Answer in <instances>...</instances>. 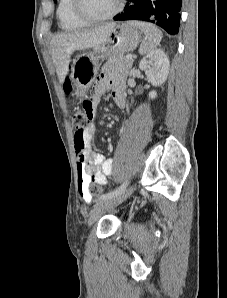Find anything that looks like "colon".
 I'll return each instance as SVG.
<instances>
[{
    "mask_svg": "<svg viewBox=\"0 0 227 298\" xmlns=\"http://www.w3.org/2000/svg\"><path fill=\"white\" fill-rule=\"evenodd\" d=\"M65 89L68 93L72 91L70 83L65 84ZM92 104V103H83ZM89 117H94V115H85L83 109H78L72 114V124L75 129V149L81 158L84 157L85 141L84 132L89 126ZM88 192L91 195H99L101 193V188L94 184L88 187Z\"/></svg>",
    "mask_w": 227,
    "mask_h": 298,
    "instance_id": "5ec220e1",
    "label": "colon"
}]
</instances>
